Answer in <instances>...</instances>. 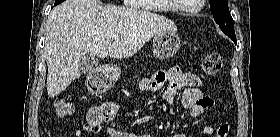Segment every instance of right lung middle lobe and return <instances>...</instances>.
<instances>
[{"instance_id":"right-lung-middle-lobe-1","label":"right lung middle lobe","mask_w":280,"mask_h":137,"mask_svg":"<svg viewBox=\"0 0 280 137\" xmlns=\"http://www.w3.org/2000/svg\"><path fill=\"white\" fill-rule=\"evenodd\" d=\"M64 0H56L55 5H58L59 3L63 2Z\"/></svg>"}]
</instances>
